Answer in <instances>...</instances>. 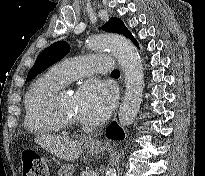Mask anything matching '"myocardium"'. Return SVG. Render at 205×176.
<instances>
[{"instance_id": "1", "label": "myocardium", "mask_w": 205, "mask_h": 176, "mask_svg": "<svg viewBox=\"0 0 205 176\" xmlns=\"http://www.w3.org/2000/svg\"><path fill=\"white\" fill-rule=\"evenodd\" d=\"M64 91H57L51 100V111L60 128L79 126L80 122L64 112L61 106V97Z\"/></svg>"}]
</instances>
